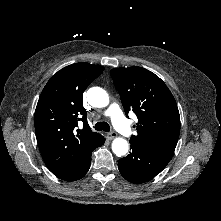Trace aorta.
Returning a JSON list of instances; mask_svg holds the SVG:
<instances>
[{
  "instance_id": "aorta-1",
  "label": "aorta",
  "mask_w": 221,
  "mask_h": 221,
  "mask_svg": "<svg viewBox=\"0 0 221 221\" xmlns=\"http://www.w3.org/2000/svg\"><path fill=\"white\" fill-rule=\"evenodd\" d=\"M89 103L94 107H106L109 104L107 92L100 87H92L87 91ZM113 153L120 157L128 152V142L121 137L115 138L112 142Z\"/></svg>"
}]
</instances>
